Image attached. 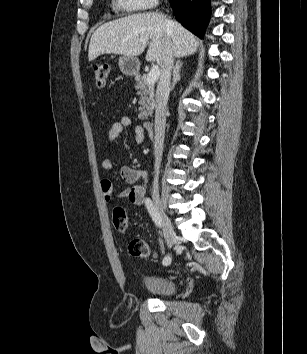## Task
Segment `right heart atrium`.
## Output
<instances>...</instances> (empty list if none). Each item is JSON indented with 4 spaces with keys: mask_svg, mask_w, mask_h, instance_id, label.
<instances>
[{
    "mask_svg": "<svg viewBox=\"0 0 307 354\" xmlns=\"http://www.w3.org/2000/svg\"><path fill=\"white\" fill-rule=\"evenodd\" d=\"M117 6L125 11H141L155 7L158 0H116Z\"/></svg>",
    "mask_w": 307,
    "mask_h": 354,
    "instance_id": "right-heart-atrium-1",
    "label": "right heart atrium"
}]
</instances>
